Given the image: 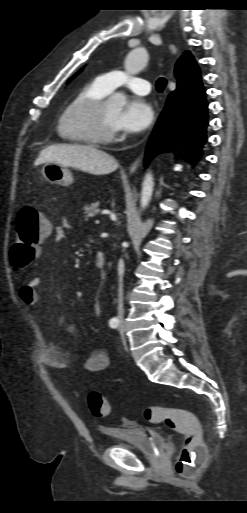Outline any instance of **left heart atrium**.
Segmentation results:
<instances>
[{"label": "left heart atrium", "mask_w": 247, "mask_h": 513, "mask_svg": "<svg viewBox=\"0 0 247 513\" xmlns=\"http://www.w3.org/2000/svg\"><path fill=\"white\" fill-rule=\"evenodd\" d=\"M154 120V112L149 103L141 98L129 100L119 112L115 121V130L139 132L148 128Z\"/></svg>", "instance_id": "obj_1"}]
</instances>
